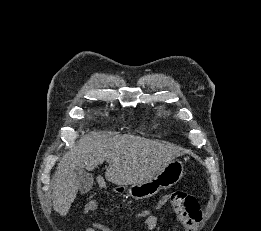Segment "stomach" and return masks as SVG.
I'll return each instance as SVG.
<instances>
[{
    "label": "stomach",
    "instance_id": "1",
    "mask_svg": "<svg viewBox=\"0 0 261 231\" xmlns=\"http://www.w3.org/2000/svg\"><path fill=\"white\" fill-rule=\"evenodd\" d=\"M184 174V165L178 160H172L161 172L152 179L132 184L128 189V194L136 199H146L157 194L161 189H168L174 186ZM126 187L117 186L115 192H124Z\"/></svg>",
    "mask_w": 261,
    "mask_h": 231
}]
</instances>
